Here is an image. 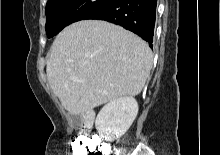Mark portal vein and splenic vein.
Listing matches in <instances>:
<instances>
[{
    "instance_id": "1",
    "label": "portal vein and splenic vein",
    "mask_w": 220,
    "mask_h": 155,
    "mask_svg": "<svg viewBox=\"0 0 220 155\" xmlns=\"http://www.w3.org/2000/svg\"><path fill=\"white\" fill-rule=\"evenodd\" d=\"M73 81H77V79H76V78H73Z\"/></svg>"
}]
</instances>
